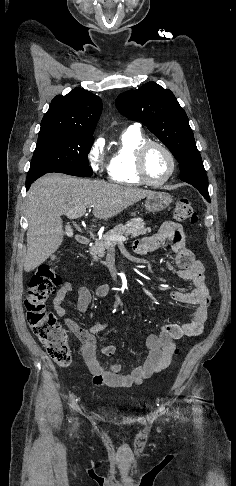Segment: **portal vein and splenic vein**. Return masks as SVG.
<instances>
[{
  "mask_svg": "<svg viewBox=\"0 0 236 486\" xmlns=\"http://www.w3.org/2000/svg\"><path fill=\"white\" fill-rule=\"evenodd\" d=\"M85 212H86V208L74 209V210H71L68 213H66V216L70 219H76V218H80L81 216H83L85 214ZM110 240L118 242V243H122V242H125L127 240V238L122 236V235H120V236L117 235V236H112L110 238Z\"/></svg>",
  "mask_w": 236,
  "mask_h": 486,
  "instance_id": "portal-vein-and-splenic-vein-1",
  "label": "portal vein and splenic vein"
}]
</instances>
